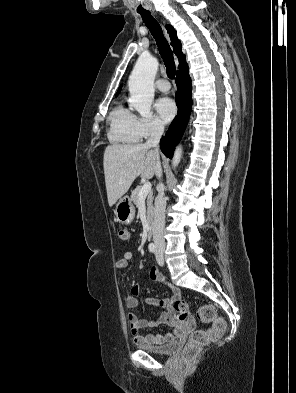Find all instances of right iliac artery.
<instances>
[{
	"instance_id": "1",
	"label": "right iliac artery",
	"mask_w": 296,
	"mask_h": 393,
	"mask_svg": "<svg viewBox=\"0 0 296 393\" xmlns=\"http://www.w3.org/2000/svg\"><path fill=\"white\" fill-rule=\"evenodd\" d=\"M148 248H149V251L152 252V253H154L155 250H156V246L153 243H150Z\"/></svg>"
}]
</instances>
